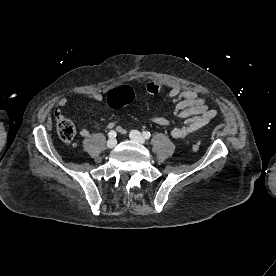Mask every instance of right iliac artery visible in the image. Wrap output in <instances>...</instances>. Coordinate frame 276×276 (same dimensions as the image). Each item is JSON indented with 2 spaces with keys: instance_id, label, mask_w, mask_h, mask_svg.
Returning <instances> with one entry per match:
<instances>
[{
  "instance_id": "obj_1",
  "label": "right iliac artery",
  "mask_w": 276,
  "mask_h": 276,
  "mask_svg": "<svg viewBox=\"0 0 276 276\" xmlns=\"http://www.w3.org/2000/svg\"><path fill=\"white\" fill-rule=\"evenodd\" d=\"M108 136H109L110 138H114V137H116V132H115L114 130H112V131H110V132L108 133Z\"/></svg>"
}]
</instances>
